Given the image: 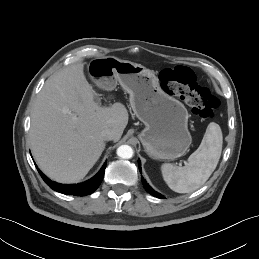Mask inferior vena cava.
<instances>
[{
  "mask_svg": "<svg viewBox=\"0 0 259 259\" xmlns=\"http://www.w3.org/2000/svg\"><path fill=\"white\" fill-rule=\"evenodd\" d=\"M102 137L107 141L114 140L116 137V133L112 129H105L102 131Z\"/></svg>",
  "mask_w": 259,
  "mask_h": 259,
  "instance_id": "obj_1",
  "label": "inferior vena cava"
}]
</instances>
